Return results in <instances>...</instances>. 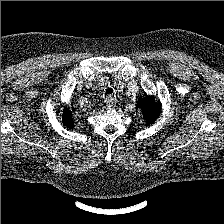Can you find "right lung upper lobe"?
Returning <instances> with one entry per match:
<instances>
[{"label": "right lung upper lobe", "instance_id": "1", "mask_svg": "<svg viewBox=\"0 0 224 224\" xmlns=\"http://www.w3.org/2000/svg\"><path fill=\"white\" fill-rule=\"evenodd\" d=\"M72 112H74V108L72 107V111L69 107H65L63 109L62 122L67 128H73V120H72Z\"/></svg>", "mask_w": 224, "mask_h": 224}]
</instances>
